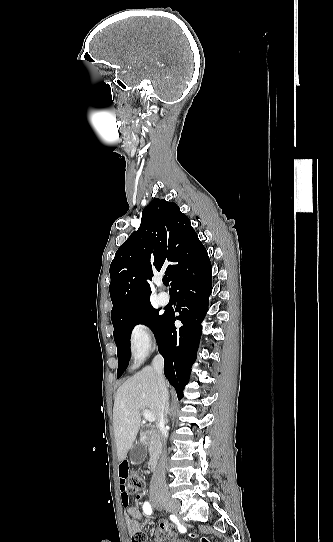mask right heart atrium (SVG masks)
Listing matches in <instances>:
<instances>
[{"label":"right heart atrium","mask_w":333,"mask_h":542,"mask_svg":"<svg viewBox=\"0 0 333 542\" xmlns=\"http://www.w3.org/2000/svg\"><path fill=\"white\" fill-rule=\"evenodd\" d=\"M132 343L140 354H149L154 344V335L150 327L144 323L136 325L132 332Z\"/></svg>","instance_id":"right-heart-atrium-1"}]
</instances>
